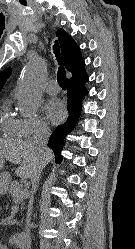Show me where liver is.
Instances as JSON below:
<instances>
[{"instance_id":"6515ba94","label":"liver","mask_w":135,"mask_h":249,"mask_svg":"<svg viewBox=\"0 0 135 249\" xmlns=\"http://www.w3.org/2000/svg\"><path fill=\"white\" fill-rule=\"evenodd\" d=\"M53 157V152L48 148L44 153H38L31 140L10 141L0 139V158L19 164L15 172L22 178H31L38 164L44 162L46 165Z\"/></svg>"}]
</instances>
